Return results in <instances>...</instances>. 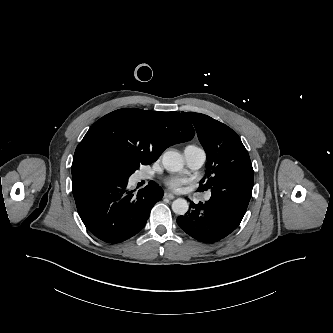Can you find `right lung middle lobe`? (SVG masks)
<instances>
[{
	"label": "right lung middle lobe",
	"instance_id": "right-lung-middle-lobe-1",
	"mask_svg": "<svg viewBox=\"0 0 333 333\" xmlns=\"http://www.w3.org/2000/svg\"><path fill=\"white\" fill-rule=\"evenodd\" d=\"M88 168L104 177L123 180H128L129 176L137 169V167L130 169H120L114 163L103 159L92 160L89 163Z\"/></svg>",
	"mask_w": 333,
	"mask_h": 333
}]
</instances>
